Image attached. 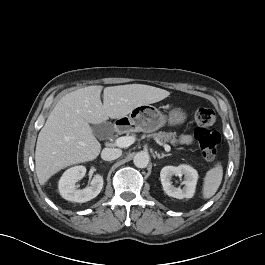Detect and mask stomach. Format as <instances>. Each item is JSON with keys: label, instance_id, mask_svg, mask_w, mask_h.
Segmentation results:
<instances>
[{"label": "stomach", "instance_id": "stomach-1", "mask_svg": "<svg viewBox=\"0 0 265 265\" xmlns=\"http://www.w3.org/2000/svg\"><path fill=\"white\" fill-rule=\"evenodd\" d=\"M186 117V113L180 108H173L169 115L165 116L157 108L148 104L134 108L129 116L119 119L123 120L122 127L126 130L150 133L158 130L167 122L170 126L183 124Z\"/></svg>", "mask_w": 265, "mask_h": 265}]
</instances>
